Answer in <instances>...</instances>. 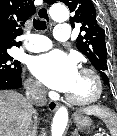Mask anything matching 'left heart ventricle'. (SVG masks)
<instances>
[{
    "instance_id": "obj_1",
    "label": "left heart ventricle",
    "mask_w": 117,
    "mask_h": 136,
    "mask_svg": "<svg viewBox=\"0 0 117 136\" xmlns=\"http://www.w3.org/2000/svg\"><path fill=\"white\" fill-rule=\"evenodd\" d=\"M95 92L92 78L83 73H79L69 90L68 94L78 99H86L91 97Z\"/></svg>"
}]
</instances>
